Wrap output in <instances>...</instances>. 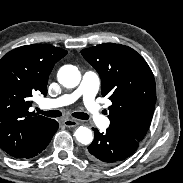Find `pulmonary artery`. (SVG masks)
<instances>
[{
  "label": "pulmonary artery",
  "mask_w": 183,
  "mask_h": 183,
  "mask_svg": "<svg viewBox=\"0 0 183 183\" xmlns=\"http://www.w3.org/2000/svg\"><path fill=\"white\" fill-rule=\"evenodd\" d=\"M99 85L100 80L98 75L93 72H86L82 77L79 87L75 91L56 99H45L42 101V106L46 108H58L69 105L82 97L92 121L97 125L108 123L106 118L101 114V106L95 99Z\"/></svg>",
  "instance_id": "obj_1"
}]
</instances>
